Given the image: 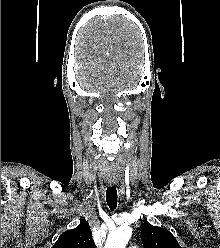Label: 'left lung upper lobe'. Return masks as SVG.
Returning <instances> with one entry per match:
<instances>
[{"label":"left lung upper lobe","instance_id":"5c2ea615","mask_svg":"<svg viewBox=\"0 0 220 248\" xmlns=\"http://www.w3.org/2000/svg\"><path fill=\"white\" fill-rule=\"evenodd\" d=\"M141 239L144 248H181L170 231L147 221L141 226Z\"/></svg>","mask_w":220,"mask_h":248}]
</instances>
